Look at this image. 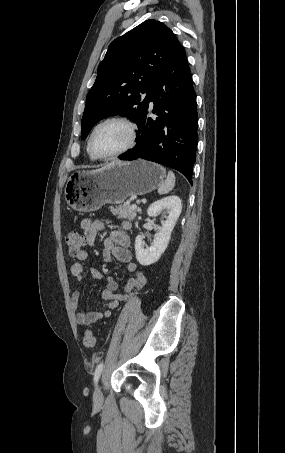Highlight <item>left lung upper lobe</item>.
<instances>
[{
    "instance_id": "left-lung-upper-lobe-1",
    "label": "left lung upper lobe",
    "mask_w": 285,
    "mask_h": 453,
    "mask_svg": "<svg viewBox=\"0 0 285 453\" xmlns=\"http://www.w3.org/2000/svg\"><path fill=\"white\" fill-rule=\"evenodd\" d=\"M179 45L175 34L154 19L114 40L87 95L81 139L96 122L111 115L138 123L149 106L160 73Z\"/></svg>"
}]
</instances>
